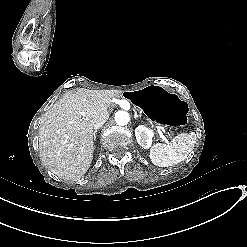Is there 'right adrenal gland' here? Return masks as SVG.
I'll return each instance as SVG.
<instances>
[{"label": "right adrenal gland", "instance_id": "obj_1", "mask_svg": "<svg viewBox=\"0 0 247 247\" xmlns=\"http://www.w3.org/2000/svg\"><path fill=\"white\" fill-rule=\"evenodd\" d=\"M96 133H97V131H94V132H93V137H94V139H96Z\"/></svg>", "mask_w": 247, "mask_h": 247}]
</instances>
